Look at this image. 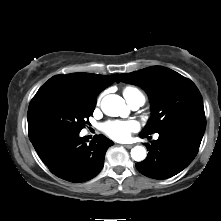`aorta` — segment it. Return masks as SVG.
Returning <instances> with one entry per match:
<instances>
[{
  "label": "aorta",
  "instance_id": "obj_1",
  "mask_svg": "<svg viewBox=\"0 0 221 221\" xmlns=\"http://www.w3.org/2000/svg\"><path fill=\"white\" fill-rule=\"evenodd\" d=\"M125 108L124 99L119 95H107L101 102V109L108 116H119ZM131 157L135 161H143L146 158V149L142 146H135L131 150Z\"/></svg>",
  "mask_w": 221,
  "mask_h": 221
}]
</instances>
